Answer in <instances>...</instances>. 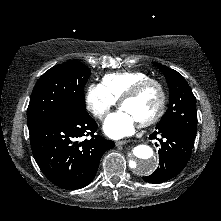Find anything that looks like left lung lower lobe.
<instances>
[{
    "mask_svg": "<svg viewBox=\"0 0 221 221\" xmlns=\"http://www.w3.org/2000/svg\"><path fill=\"white\" fill-rule=\"evenodd\" d=\"M150 139L160 142L159 167L143 179L149 183L165 182L178 175L186 166L194 145L195 136L173 125L156 126Z\"/></svg>",
    "mask_w": 221,
    "mask_h": 221,
    "instance_id": "obj_1",
    "label": "left lung lower lobe"
}]
</instances>
